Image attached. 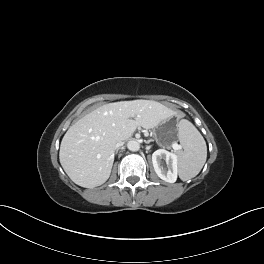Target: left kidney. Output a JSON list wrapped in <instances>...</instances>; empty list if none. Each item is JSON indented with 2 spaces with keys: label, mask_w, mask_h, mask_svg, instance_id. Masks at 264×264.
Wrapping results in <instances>:
<instances>
[{
  "label": "left kidney",
  "mask_w": 264,
  "mask_h": 264,
  "mask_svg": "<svg viewBox=\"0 0 264 264\" xmlns=\"http://www.w3.org/2000/svg\"><path fill=\"white\" fill-rule=\"evenodd\" d=\"M165 160L167 168L163 166ZM152 163L158 177L162 180L174 183L177 180V155L165 149H158L152 154Z\"/></svg>",
  "instance_id": "left-kidney-1"
}]
</instances>
